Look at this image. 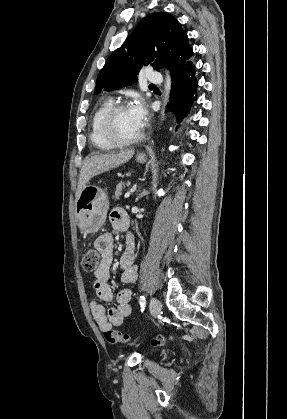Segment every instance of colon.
Masks as SVG:
<instances>
[{"instance_id": "colon-1", "label": "colon", "mask_w": 287, "mask_h": 419, "mask_svg": "<svg viewBox=\"0 0 287 419\" xmlns=\"http://www.w3.org/2000/svg\"><path fill=\"white\" fill-rule=\"evenodd\" d=\"M100 263L101 255L96 249L89 248L83 251L81 256V266L85 272H95L98 269ZM104 337L106 341L111 344L126 343L130 340V336L128 334H124L116 330L105 331ZM172 339L173 337L165 338L164 336H157L153 339L152 343L154 346H162L167 341Z\"/></svg>"}]
</instances>
